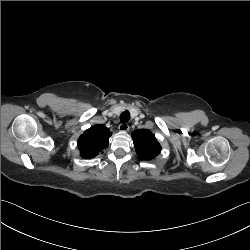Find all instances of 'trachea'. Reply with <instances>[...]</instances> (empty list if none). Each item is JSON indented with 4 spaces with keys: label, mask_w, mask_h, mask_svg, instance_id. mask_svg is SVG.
Instances as JSON below:
<instances>
[{
    "label": "trachea",
    "mask_w": 250,
    "mask_h": 250,
    "mask_svg": "<svg viewBox=\"0 0 250 250\" xmlns=\"http://www.w3.org/2000/svg\"><path fill=\"white\" fill-rule=\"evenodd\" d=\"M130 120V113L128 111H124L120 115V121L122 123H127Z\"/></svg>",
    "instance_id": "trachea-1"
}]
</instances>
